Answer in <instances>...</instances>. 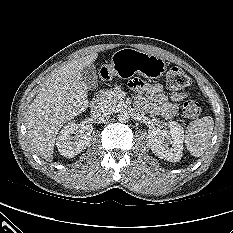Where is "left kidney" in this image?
Segmentation results:
<instances>
[{
	"instance_id": "5707ae66",
	"label": "left kidney",
	"mask_w": 233,
	"mask_h": 233,
	"mask_svg": "<svg viewBox=\"0 0 233 233\" xmlns=\"http://www.w3.org/2000/svg\"><path fill=\"white\" fill-rule=\"evenodd\" d=\"M169 130L163 127H151L148 138L152 152L161 159L178 162L182 157L184 130L177 122L168 124Z\"/></svg>"
}]
</instances>
